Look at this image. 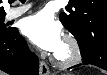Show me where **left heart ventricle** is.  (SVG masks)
Wrapping results in <instances>:
<instances>
[{
    "instance_id": "1",
    "label": "left heart ventricle",
    "mask_w": 107,
    "mask_h": 75,
    "mask_svg": "<svg viewBox=\"0 0 107 75\" xmlns=\"http://www.w3.org/2000/svg\"><path fill=\"white\" fill-rule=\"evenodd\" d=\"M66 53H67V48L64 45V43H62L60 49L57 51V54L64 56V55H66Z\"/></svg>"
}]
</instances>
